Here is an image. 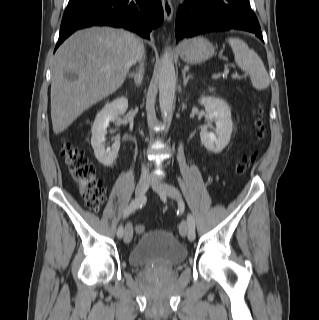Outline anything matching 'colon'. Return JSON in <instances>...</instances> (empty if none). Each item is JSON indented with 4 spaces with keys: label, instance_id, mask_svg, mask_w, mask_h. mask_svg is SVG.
<instances>
[{
    "label": "colon",
    "instance_id": "5ec220e1",
    "mask_svg": "<svg viewBox=\"0 0 319 320\" xmlns=\"http://www.w3.org/2000/svg\"><path fill=\"white\" fill-rule=\"evenodd\" d=\"M254 125L257 129V138L262 140L265 135L266 124L261 110H257L254 114ZM62 155L72 179L79 186L81 197L90 208L98 210L105 201V189L96 176L94 165L80 150L67 141L62 144ZM244 169L243 164L239 165V172H243ZM135 232L143 234L145 227L138 224L135 226Z\"/></svg>",
    "mask_w": 319,
    "mask_h": 320
}]
</instances>
